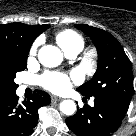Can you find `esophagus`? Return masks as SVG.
Listing matches in <instances>:
<instances>
[{
  "label": "esophagus",
  "instance_id": "1",
  "mask_svg": "<svg viewBox=\"0 0 136 136\" xmlns=\"http://www.w3.org/2000/svg\"><path fill=\"white\" fill-rule=\"evenodd\" d=\"M51 100H52L53 102H59V101L62 100V98L57 97V96H51Z\"/></svg>",
  "mask_w": 136,
  "mask_h": 136
}]
</instances>
